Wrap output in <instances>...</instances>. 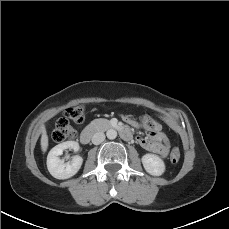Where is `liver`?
<instances>
[{
	"label": "liver",
	"mask_w": 229,
	"mask_h": 229,
	"mask_svg": "<svg viewBox=\"0 0 229 229\" xmlns=\"http://www.w3.org/2000/svg\"><path fill=\"white\" fill-rule=\"evenodd\" d=\"M41 140H40V145H41V150L43 153L47 151L48 148V135L46 132V128L44 126H41Z\"/></svg>",
	"instance_id": "obj_1"
}]
</instances>
